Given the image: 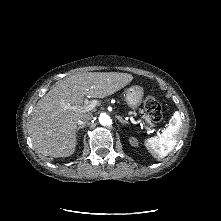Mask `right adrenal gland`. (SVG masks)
I'll return each instance as SVG.
<instances>
[{
	"label": "right adrenal gland",
	"mask_w": 221,
	"mask_h": 221,
	"mask_svg": "<svg viewBox=\"0 0 221 221\" xmlns=\"http://www.w3.org/2000/svg\"><path fill=\"white\" fill-rule=\"evenodd\" d=\"M84 127H85L84 125L79 126V127L77 128V132H78L80 129L84 128Z\"/></svg>",
	"instance_id": "2a0ac1e0"
}]
</instances>
